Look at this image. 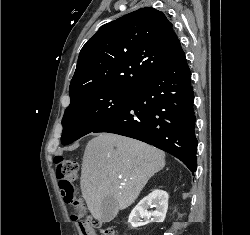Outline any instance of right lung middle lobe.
I'll return each instance as SVG.
<instances>
[{
  "mask_svg": "<svg viewBox=\"0 0 250 235\" xmlns=\"http://www.w3.org/2000/svg\"><path fill=\"white\" fill-rule=\"evenodd\" d=\"M133 92L134 90H96L72 100L62 119V144H70L92 132L120 110Z\"/></svg>",
  "mask_w": 250,
  "mask_h": 235,
  "instance_id": "obj_1",
  "label": "right lung middle lobe"
}]
</instances>
